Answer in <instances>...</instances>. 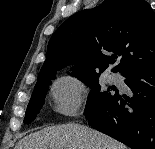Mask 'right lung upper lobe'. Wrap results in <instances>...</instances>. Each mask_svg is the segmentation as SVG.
<instances>
[{
    "mask_svg": "<svg viewBox=\"0 0 155 149\" xmlns=\"http://www.w3.org/2000/svg\"><path fill=\"white\" fill-rule=\"evenodd\" d=\"M118 56L112 71L122 75L155 66V14L144 0H106L68 18L48 43L37 82L71 64L73 72H103Z\"/></svg>",
    "mask_w": 155,
    "mask_h": 149,
    "instance_id": "1",
    "label": "right lung upper lobe"
}]
</instances>
